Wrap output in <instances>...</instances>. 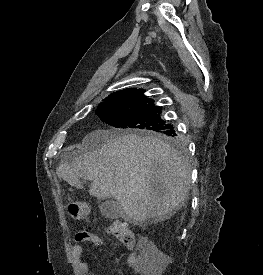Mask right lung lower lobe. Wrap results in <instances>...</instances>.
<instances>
[{
	"instance_id": "right-lung-lower-lobe-1",
	"label": "right lung lower lobe",
	"mask_w": 263,
	"mask_h": 275,
	"mask_svg": "<svg viewBox=\"0 0 263 275\" xmlns=\"http://www.w3.org/2000/svg\"><path fill=\"white\" fill-rule=\"evenodd\" d=\"M165 132H166V133H171V134H173V135H176V133H175V131H174L173 127H172V128L167 129Z\"/></svg>"
}]
</instances>
